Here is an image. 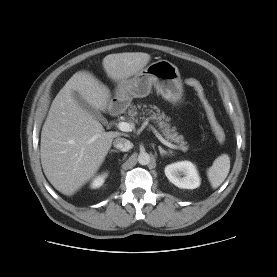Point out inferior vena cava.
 Here are the masks:
<instances>
[{
	"mask_svg": "<svg viewBox=\"0 0 277 277\" xmlns=\"http://www.w3.org/2000/svg\"><path fill=\"white\" fill-rule=\"evenodd\" d=\"M113 145L115 148L120 149L121 151H129L133 147V143L125 138L118 137L114 140Z\"/></svg>",
	"mask_w": 277,
	"mask_h": 277,
	"instance_id": "obj_1",
	"label": "inferior vena cava"
}]
</instances>
